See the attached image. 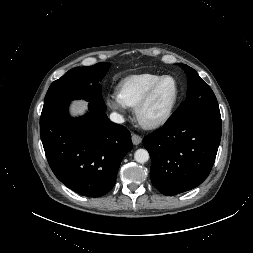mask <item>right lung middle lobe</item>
Segmentation results:
<instances>
[{
    "instance_id": "1",
    "label": "right lung middle lobe",
    "mask_w": 253,
    "mask_h": 253,
    "mask_svg": "<svg viewBox=\"0 0 253 253\" xmlns=\"http://www.w3.org/2000/svg\"><path fill=\"white\" fill-rule=\"evenodd\" d=\"M109 67L110 63L100 62L93 66L76 67L66 72L49 87L42 114L76 99H84L89 103L104 101L98 80L105 76Z\"/></svg>"
}]
</instances>
